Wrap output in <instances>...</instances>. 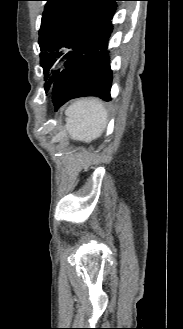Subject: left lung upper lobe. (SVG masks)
I'll list each match as a JSON object with an SVG mask.
<instances>
[{"label":"left lung upper lobe","instance_id":"obj_1","mask_svg":"<svg viewBox=\"0 0 183 329\" xmlns=\"http://www.w3.org/2000/svg\"><path fill=\"white\" fill-rule=\"evenodd\" d=\"M39 30L40 64L44 69L45 90L51 88L59 71L49 74L61 49L68 48L69 58L90 28L110 12L118 0H45Z\"/></svg>","mask_w":183,"mask_h":329}]
</instances>
